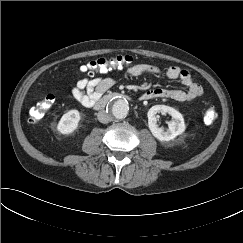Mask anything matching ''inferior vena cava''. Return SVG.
<instances>
[{"label":"inferior vena cava","instance_id":"1","mask_svg":"<svg viewBox=\"0 0 243 243\" xmlns=\"http://www.w3.org/2000/svg\"><path fill=\"white\" fill-rule=\"evenodd\" d=\"M97 119L101 123H108L111 118H110L109 114L106 111L102 110V111L98 112Z\"/></svg>","mask_w":243,"mask_h":243}]
</instances>
